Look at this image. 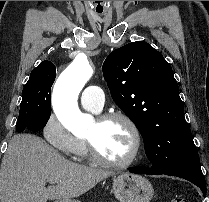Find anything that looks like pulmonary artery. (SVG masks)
I'll use <instances>...</instances> for the list:
<instances>
[{"label": "pulmonary artery", "mask_w": 209, "mask_h": 202, "mask_svg": "<svg viewBox=\"0 0 209 202\" xmlns=\"http://www.w3.org/2000/svg\"><path fill=\"white\" fill-rule=\"evenodd\" d=\"M80 104L85 109L99 113L104 106L103 88L99 85L87 86L80 96Z\"/></svg>", "instance_id": "1"}]
</instances>
